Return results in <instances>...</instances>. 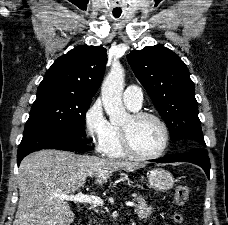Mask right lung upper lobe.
<instances>
[{"instance_id": "right-lung-upper-lobe-1", "label": "right lung upper lobe", "mask_w": 228, "mask_h": 225, "mask_svg": "<svg viewBox=\"0 0 228 225\" xmlns=\"http://www.w3.org/2000/svg\"><path fill=\"white\" fill-rule=\"evenodd\" d=\"M106 62L105 48L79 45L52 64L39 87H61L93 97L104 76Z\"/></svg>"}]
</instances>
